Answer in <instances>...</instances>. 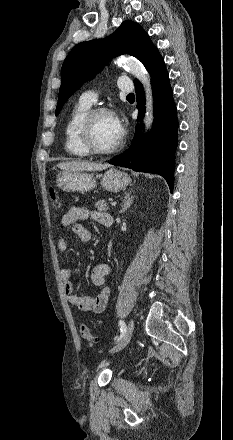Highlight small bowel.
Wrapping results in <instances>:
<instances>
[{
  "mask_svg": "<svg viewBox=\"0 0 233 440\" xmlns=\"http://www.w3.org/2000/svg\"><path fill=\"white\" fill-rule=\"evenodd\" d=\"M111 216L103 211H90L84 206H72L62 216L61 223L64 227H71L73 232L78 235L81 241L89 242L92 239V233L86 229L80 220L90 217L93 221L102 224V221ZM59 251H66L68 249V242L64 238H60L57 242ZM111 267L107 263H101L93 268L91 274L92 283L101 287V291L96 297H81L74 293V287L71 282L72 269L65 267L60 272L62 280L63 292L67 297L68 302L84 312L101 313L107 306L110 289L106 285V277L110 273Z\"/></svg>",
  "mask_w": 233,
  "mask_h": 440,
  "instance_id": "1",
  "label": "small bowel"
}]
</instances>
